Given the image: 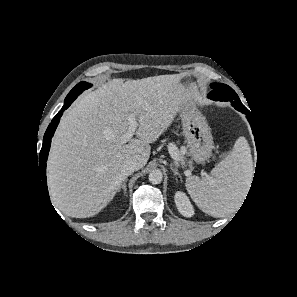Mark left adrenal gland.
Returning <instances> with one entry per match:
<instances>
[{"label": "left adrenal gland", "instance_id": "1", "mask_svg": "<svg viewBox=\"0 0 297 297\" xmlns=\"http://www.w3.org/2000/svg\"><path fill=\"white\" fill-rule=\"evenodd\" d=\"M170 169L174 172V175L176 176H179L181 181H182V176L180 175V173L178 172V169L176 167H174L173 164H170Z\"/></svg>", "mask_w": 297, "mask_h": 297}]
</instances>
